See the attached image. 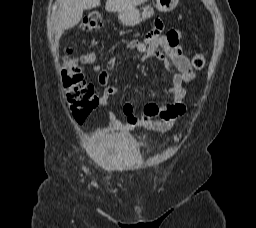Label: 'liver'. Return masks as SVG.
Segmentation results:
<instances>
[{
    "instance_id": "liver-1",
    "label": "liver",
    "mask_w": 256,
    "mask_h": 228,
    "mask_svg": "<svg viewBox=\"0 0 256 228\" xmlns=\"http://www.w3.org/2000/svg\"><path fill=\"white\" fill-rule=\"evenodd\" d=\"M148 0H107L105 9L108 12H116L123 9L136 7ZM61 10L56 41L60 39L64 30L70 29L77 25L83 16V11L100 6V0H60Z\"/></svg>"
}]
</instances>
